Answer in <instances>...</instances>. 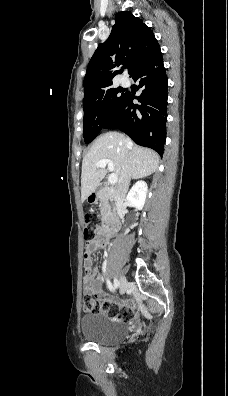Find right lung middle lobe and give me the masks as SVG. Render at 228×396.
I'll return each instance as SVG.
<instances>
[{
  "mask_svg": "<svg viewBox=\"0 0 228 396\" xmlns=\"http://www.w3.org/2000/svg\"><path fill=\"white\" fill-rule=\"evenodd\" d=\"M126 93L113 86L93 92L84 97L83 137L90 143L104 125L114 116Z\"/></svg>",
  "mask_w": 228,
  "mask_h": 396,
  "instance_id": "dd1d6c3e",
  "label": "right lung middle lobe"
}]
</instances>
